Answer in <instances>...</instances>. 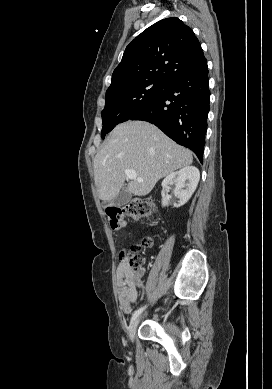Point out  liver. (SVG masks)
<instances>
[{
    "label": "liver",
    "instance_id": "6515ba94",
    "mask_svg": "<svg viewBox=\"0 0 272 389\" xmlns=\"http://www.w3.org/2000/svg\"><path fill=\"white\" fill-rule=\"evenodd\" d=\"M192 162V153L156 126L145 121L121 123L93 160L98 196L104 202L113 200L124 184L126 169L134 170L137 178L144 180L130 181L128 191L145 196L160 179Z\"/></svg>",
    "mask_w": 272,
    "mask_h": 389
}]
</instances>
